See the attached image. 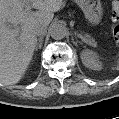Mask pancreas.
Segmentation results:
<instances>
[{"instance_id": "obj_1", "label": "pancreas", "mask_w": 119, "mask_h": 119, "mask_svg": "<svg viewBox=\"0 0 119 119\" xmlns=\"http://www.w3.org/2000/svg\"><path fill=\"white\" fill-rule=\"evenodd\" d=\"M84 38H86L87 40L91 41L93 45H96L95 40L90 35L86 34Z\"/></svg>"}]
</instances>
